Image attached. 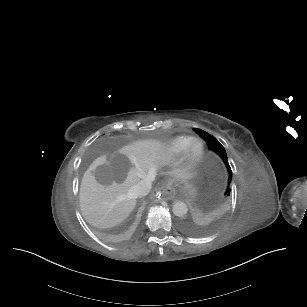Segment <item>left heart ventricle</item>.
I'll return each instance as SVG.
<instances>
[{
	"label": "left heart ventricle",
	"instance_id": "1",
	"mask_svg": "<svg viewBox=\"0 0 307 307\" xmlns=\"http://www.w3.org/2000/svg\"><path fill=\"white\" fill-rule=\"evenodd\" d=\"M201 145L200 144H195L192 148V155L196 156L201 152Z\"/></svg>",
	"mask_w": 307,
	"mask_h": 307
}]
</instances>
